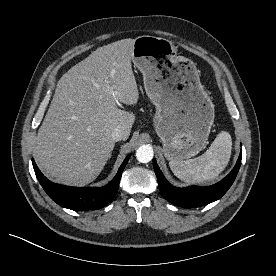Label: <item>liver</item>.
Here are the masks:
<instances>
[{"label": "liver", "mask_w": 276, "mask_h": 276, "mask_svg": "<svg viewBox=\"0 0 276 276\" xmlns=\"http://www.w3.org/2000/svg\"><path fill=\"white\" fill-rule=\"evenodd\" d=\"M134 42L127 38L97 48L58 81L34 152L52 180L91 183L111 157L114 129L121 126L126 139L130 135L135 115L116 104L134 105L139 98L131 66Z\"/></svg>", "instance_id": "obj_1"}]
</instances>
